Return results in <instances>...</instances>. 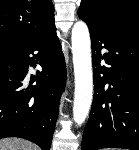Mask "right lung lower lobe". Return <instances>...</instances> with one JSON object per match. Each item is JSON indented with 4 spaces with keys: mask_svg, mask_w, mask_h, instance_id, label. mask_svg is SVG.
<instances>
[{
    "mask_svg": "<svg viewBox=\"0 0 139 150\" xmlns=\"http://www.w3.org/2000/svg\"><path fill=\"white\" fill-rule=\"evenodd\" d=\"M37 63L42 71L30 78L36 85L26 88L28 68ZM65 82V61L54 24L34 41L0 54V139L20 137L50 150Z\"/></svg>",
    "mask_w": 139,
    "mask_h": 150,
    "instance_id": "right-lung-lower-lobe-1",
    "label": "right lung lower lobe"
}]
</instances>
